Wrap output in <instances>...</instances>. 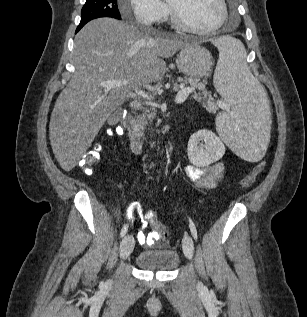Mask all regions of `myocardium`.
I'll return each mask as SVG.
<instances>
[{
  "label": "myocardium",
  "instance_id": "myocardium-1",
  "mask_svg": "<svg viewBox=\"0 0 307 317\" xmlns=\"http://www.w3.org/2000/svg\"><path fill=\"white\" fill-rule=\"evenodd\" d=\"M220 8H221V16L219 21L211 28L209 29H197L194 28L190 25H188L186 22H184L175 8L168 2V9H169V14H170V19H171V24L178 30L198 35V36H207L215 33L218 31L226 22L228 18V7L227 3L225 0H217Z\"/></svg>",
  "mask_w": 307,
  "mask_h": 317
}]
</instances>
